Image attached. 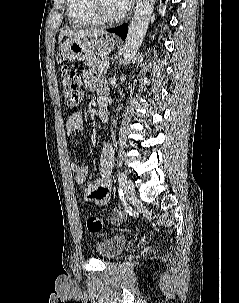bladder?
I'll return each mask as SVG.
<instances>
[{
	"label": "bladder",
	"instance_id": "1",
	"mask_svg": "<svg viewBox=\"0 0 239 303\" xmlns=\"http://www.w3.org/2000/svg\"><path fill=\"white\" fill-rule=\"evenodd\" d=\"M127 239L122 236H112L96 242L95 252L102 259L117 257L126 247Z\"/></svg>",
	"mask_w": 239,
	"mask_h": 303
}]
</instances>
